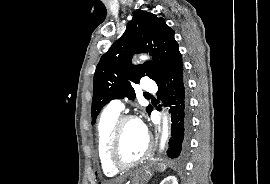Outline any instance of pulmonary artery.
I'll return each instance as SVG.
<instances>
[{
  "instance_id": "obj_1",
  "label": "pulmonary artery",
  "mask_w": 270,
  "mask_h": 184,
  "mask_svg": "<svg viewBox=\"0 0 270 184\" xmlns=\"http://www.w3.org/2000/svg\"><path fill=\"white\" fill-rule=\"evenodd\" d=\"M141 88L146 93H153L157 89L155 82L148 78L143 79L141 82ZM109 108L116 112H121L124 108V105L120 100H113L110 102Z\"/></svg>"
}]
</instances>
